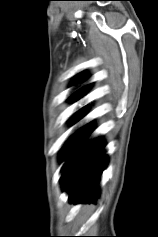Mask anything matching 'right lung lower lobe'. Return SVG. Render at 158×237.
<instances>
[{"label": "right lung lower lobe", "mask_w": 158, "mask_h": 237, "mask_svg": "<svg viewBox=\"0 0 158 237\" xmlns=\"http://www.w3.org/2000/svg\"><path fill=\"white\" fill-rule=\"evenodd\" d=\"M90 124L81 127L66 142L62 158L67 159L61 181L71 202H95L98 183L107 158L104 143L96 138L87 141Z\"/></svg>", "instance_id": "obj_1"}]
</instances>
